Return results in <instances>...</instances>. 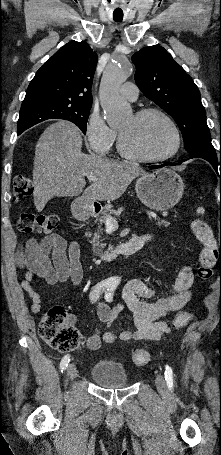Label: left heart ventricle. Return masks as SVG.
<instances>
[{"mask_svg":"<svg viewBox=\"0 0 221 455\" xmlns=\"http://www.w3.org/2000/svg\"><path fill=\"white\" fill-rule=\"evenodd\" d=\"M127 148L142 156L157 157L170 152L174 136L169 125L159 116L150 115L143 119L130 116L118 128Z\"/></svg>","mask_w":221,"mask_h":455,"instance_id":"b2bd125f","label":"left heart ventricle"}]
</instances>
